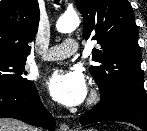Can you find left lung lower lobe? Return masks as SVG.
Segmentation results:
<instances>
[{
  "label": "left lung lower lobe",
  "instance_id": "1",
  "mask_svg": "<svg viewBox=\"0 0 147 131\" xmlns=\"http://www.w3.org/2000/svg\"><path fill=\"white\" fill-rule=\"evenodd\" d=\"M103 121L132 123L147 131V98L136 94H121L100 102L80 117L81 125Z\"/></svg>",
  "mask_w": 147,
  "mask_h": 131
}]
</instances>
